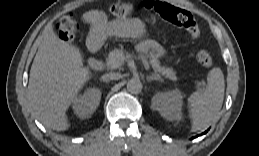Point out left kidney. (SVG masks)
Instances as JSON below:
<instances>
[{"label": "left kidney", "mask_w": 259, "mask_h": 156, "mask_svg": "<svg viewBox=\"0 0 259 156\" xmlns=\"http://www.w3.org/2000/svg\"><path fill=\"white\" fill-rule=\"evenodd\" d=\"M183 95L178 89L158 92L152 98V106L169 121L181 120Z\"/></svg>", "instance_id": "left-kidney-1"}]
</instances>
